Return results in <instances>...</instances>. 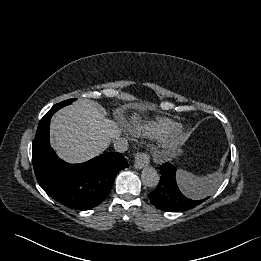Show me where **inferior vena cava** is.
I'll use <instances>...</instances> for the list:
<instances>
[{"label":"inferior vena cava","instance_id":"obj_1","mask_svg":"<svg viewBox=\"0 0 261 261\" xmlns=\"http://www.w3.org/2000/svg\"><path fill=\"white\" fill-rule=\"evenodd\" d=\"M113 145L116 152L124 153L128 149V141L122 137L116 138Z\"/></svg>","mask_w":261,"mask_h":261}]
</instances>
